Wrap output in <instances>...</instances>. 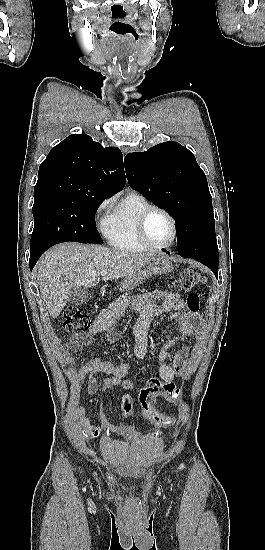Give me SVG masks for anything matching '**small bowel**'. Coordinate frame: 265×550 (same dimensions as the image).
I'll return each instance as SVG.
<instances>
[{"instance_id": "1", "label": "small bowel", "mask_w": 265, "mask_h": 550, "mask_svg": "<svg viewBox=\"0 0 265 550\" xmlns=\"http://www.w3.org/2000/svg\"><path fill=\"white\" fill-rule=\"evenodd\" d=\"M129 306H132L139 314L135 324L136 342L132 347V353L134 357L140 360L146 359L149 354V329L153 319L166 312H170L173 319L178 322L177 333L167 335L166 343L160 347L157 353L160 379L167 385L176 387L175 379L185 375L188 370V345L196 335L200 321L196 315L185 309L182 298L175 293L152 290L140 295H124L119 297L94 320L88 330L68 337L66 340L67 349L71 353H78L89 346L94 336L99 333H105L109 342L116 343L119 336L114 328V322L123 315ZM176 345L180 346V348L172 355L171 348ZM70 359L71 356H67V360ZM129 371L130 366L126 363L114 364L100 357H93L74 373L79 382H83L88 375H91L87 381L89 393L94 394L100 391L103 394L107 390L118 386H121L125 391H132L135 388L134 382L125 379ZM97 373L109 375L101 386H99L94 376ZM161 397L165 398L164 396ZM134 411L133 400L128 396L123 397L121 402L122 415L130 417L134 414ZM79 419L85 438L98 439L101 436V428L93 425L85 416L83 410H79ZM148 420L164 426L161 420Z\"/></svg>"}]
</instances>
